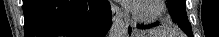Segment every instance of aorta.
Instances as JSON below:
<instances>
[{"mask_svg":"<svg viewBox=\"0 0 219 37\" xmlns=\"http://www.w3.org/2000/svg\"><path fill=\"white\" fill-rule=\"evenodd\" d=\"M127 31L123 19H115L109 31V37H126Z\"/></svg>","mask_w":219,"mask_h":37,"instance_id":"762f6f07","label":"aorta"}]
</instances>
